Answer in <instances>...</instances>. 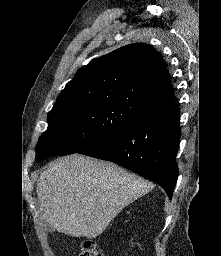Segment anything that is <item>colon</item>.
<instances>
[{
  "label": "colon",
  "instance_id": "obj_1",
  "mask_svg": "<svg viewBox=\"0 0 221 256\" xmlns=\"http://www.w3.org/2000/svg\"><path fill=\"white\" fill-rule=\"evenodd\" d=\"M79 256H105L98 244L92 239H85L81 244Z\"/></svg>",
  "mask_w": 221,
  "mask_h": 256
}]
</instances>
